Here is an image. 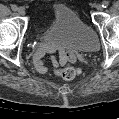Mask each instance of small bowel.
<instances>
[{
  "label": "small bowel",
  "mask_w": 119,
  "mask_h": 119,
  "mask_svg": "<svg viewBox=\"0 0 119 119\" xmlns=\"http://www.w3.org/2000/svg\"><path fill=\"white\" fill-rule=\"evenodd\" d=\"M55 52L59 53L58 58L54 56L51 57L52 65L54 68H56L55 73H57L60 68L73 64L76 60L73 51L70 49L59 47L53 42H40L36 45L32 52V60L37 72L40 74H45L48 71V68L43 62V58L46 54H53Z\"/></svg>",
  "instance_id": "small-bowel-1"
}]
</instances>
